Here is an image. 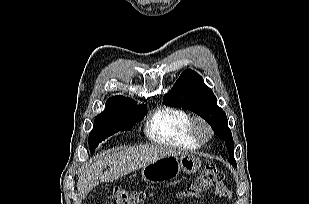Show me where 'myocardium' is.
Segmentation results:
<instances>
[{
	"label": "myocardium",
	"instance_id": "myocardium-1",
	"mask_svg": "<svg viewBox=\"0 0 309 204\" xmlns=\"http://www.w3.org/2000/svg\"><path fill=\"white\" fill-rule=\"evenodd\" d=\"M189 131L192 137L200 144L208 142L213 137L211 125L200 116L191 117Z\"/></svg>",
	"mask_w": 309,
	"mask_h": 204
}]
</instances>
